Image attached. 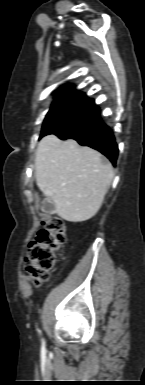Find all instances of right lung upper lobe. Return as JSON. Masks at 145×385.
I'll return each mask as SVG.
<instances>
[{
    "mask_svg": "<svg viewBox=\"0 0 145 385\" xmlns=\"http://www.w3.org/2000/svg\"><path fill=\"white\" fill-rule=\"evenodd\" d=\"M71 92H77L73 86H66L64 88H61L59 91H58V95L57 96H60V95H63V94H67V93H71Z\"/></svg>",
    "mask_w": 145,
    "mask_h": 385,
    "instance_id": "obj_1",
    "label": "right lung upper lobe"
}]
</instances>
